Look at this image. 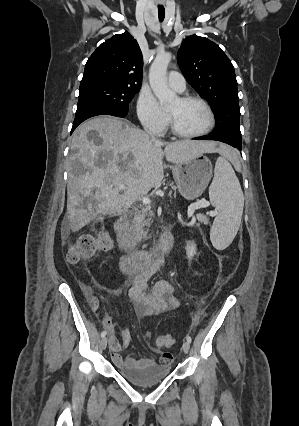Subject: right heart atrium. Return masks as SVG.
<instances>
[{
    "mask_svg": "<svg viewBox=\"0 0 299 426\" xmlns=\"http://www.w3.org/2000/svg\"><path fill=\"white\" fill-rule=\"evenodd\" d=\"M136 112L146 130L155 134H162L166 130L169 122L168 114L149 88H143L139 92Z\"/></svg>",
    "mask_w": 299,
    "mask_h": 426,
    "instance_id": "right-heart-atrium-1",
    "label": "right heart atrium"
}]
</instances>
